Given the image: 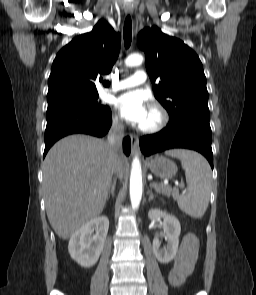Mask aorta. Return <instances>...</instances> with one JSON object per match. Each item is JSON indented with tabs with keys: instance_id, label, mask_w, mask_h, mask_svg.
<instances>
[{
	"instance_id": "aorta-1",
	"label": "aorta",
	"mask_w": 256,
	"mask_h": 295,
	"mask_svg": "<svg viewBox=\"0 0 256 295\" xmlns=\"http://www.w3.org/2000/svg\"><path fill=\"white\" fill-rule=\"evenodd\" d=\"M143 63V56L141 54H131L125 59L127 67L139 66ZM142 198V169L141 163L137 156L134 157L131 166L130 174V200L132 209L139 207Z\"/></svg>"
}]
</instances>
